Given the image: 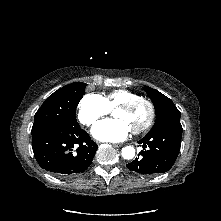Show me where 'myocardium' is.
Masks as SVG:
<instances>
[{
  "label": "myocardium",
  "instance_id": "obj_1",
  "mask_svg": "<svg viewBox=\"0 0 221 221\" xmlns=\"http://www.w3.org/2000/svg\"><path fill=\"white\" fill-rule=\"evenodd\" d=\"M144 104L148 108V118L147 120L139 127L131 129L133 134H140L147 131L153 124L156 115V109L153 102L147 98L139 97L137 99L122 103L116 107V109L131 111L136 108L138 105Z\"/></svg>",
  "mask_w": 221,
  "mask_h": 221
}]
</instances>
